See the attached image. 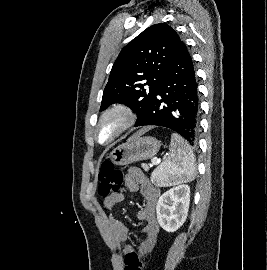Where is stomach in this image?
Instances as JSON below:
<instances>
[{"instance_id":"obj_1","label":"stomach","mask_w":267,"mask_h":270,"mask_svg":"<svg viewBox=\"0 0 267 270\" xmlns=\"http://www.w3.org/2000/svg\"><path fill=\"white\" fill-rule=\"evenodd\" d=\"M161 143L154 137L144 136L128 140L116 147L111 153V161L116 165H128L136 161L154 157Z\"/></svg>"}]
</instances>
